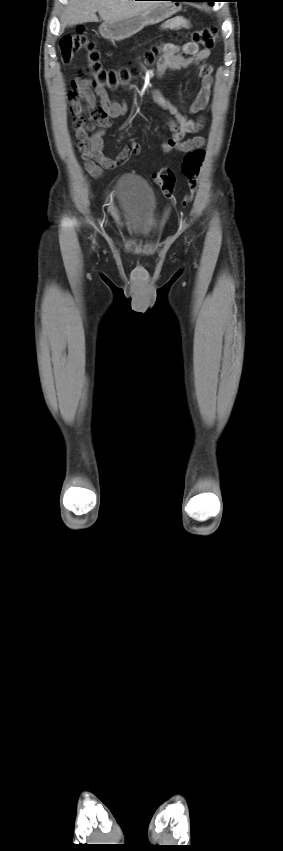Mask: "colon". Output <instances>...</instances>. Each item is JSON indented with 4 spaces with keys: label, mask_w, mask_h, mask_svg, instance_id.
<instances>
[{
    "label": "colon",
    "mask_w": 283,
    "mask_h": 851,
    "mask_svg": "<svg viewBox=\"0 0 283 851\" xmlns=\"http://www.w3.org/2000/svg\"><path fill=\"white\" fill-rule=\"evenodd\" d=\"M179 39L183 35H178ZM190 42L202 45L205 48H212L217 43L218 35L216 27L197 29L187 34ZM165 43H160L159 46L147 53L146 60L148 63H153L156 54L161 50ZM61 58L64 63H69L76 54L84 50L86 52V66L84 71L96 84L116 89L128 83L132 76L139 73V67L134 66L129 70L119 72L107 71L102 67L100 61V53L96 49L95 43L88 39L83 31L70 33L65 35L59 44ZM204 159V151L195 149L189 151L181 164V171L188 180L190 193L183 199V205H187L193 197L197 187V180L200 168ZM154 181L162 189L166 197H171L175 186V174L171 169H161L154 174Z\"/></svg>",
    "instance_id": "colon-1"
}]
</instances>
